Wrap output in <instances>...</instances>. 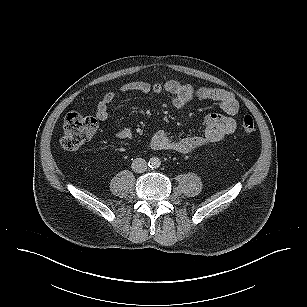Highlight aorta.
<instances>
[{"label":"aorta","instance_id":"762f6f07","mask_svg":"<svg viewBox=\"0 0 307 307\" xmlns=\"http://www.w3.org/2000/svg\"><path fill=\"white\" fill-rule=\"evenodd\" d=\"M161 165V161L158 157H152L149 160V166L151 168H158Z\"/></svg>","mask_w":307,"mask_h":307}]
</instances>
